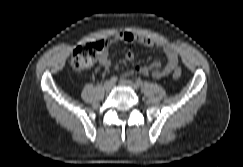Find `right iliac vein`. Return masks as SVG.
Wrapping results in <instances>:
<instances>
[{
    "mask_svg": "<svg viewBox=\"0 0 243 167\" xmlns=\"http://www.w3.org/2000/svg\"><path fill=\"white\" fill-rule=\"evenodd\" d=\"M113 88V83L110 81H107L104 83V89L105 91L109 92Z\"/></svg>",
    "mask_w": 243,
    "mask_h": 167,
    "instance_id": "1",
    "label": "right iliac vein"
}]
</instances>
